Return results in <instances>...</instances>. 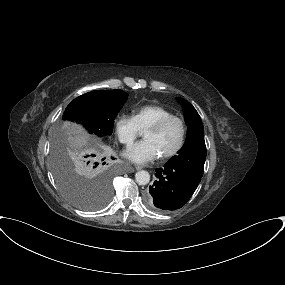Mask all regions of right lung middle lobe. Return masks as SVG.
Masks as SVG:
<instances>
[{
    "instance_id": "1",
    "label": "right lung middle lobe",
    "mask_w": 285,
    "mask_h": 285,
    "mask_svg": "<svg viewBox=\"0 0 285 285\" xmlns=\"http://www.w3.org/2000/svg\"><path fill=\"white\" fill-rule=\"evenodd\" d=\"M127 100L122 90H96L83 94L65 109L64 120L74 121L97 136L112 134L114 119ZM99 167L96 173L91 170ZM55 180L65 197L83 210H97L111 197V161L102 154L73 158L59 133L52 149Z\"/></svg>"
}]
</instances>
